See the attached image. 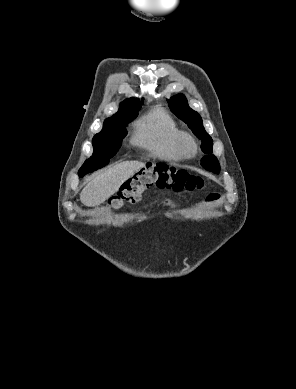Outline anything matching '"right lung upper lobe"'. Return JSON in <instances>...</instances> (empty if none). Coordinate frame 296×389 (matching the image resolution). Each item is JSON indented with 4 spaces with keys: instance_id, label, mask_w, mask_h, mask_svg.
Segmentation results:
<instances>
[{
    "instance_id": "1",
    "label": "right lung upper lobe",
    "mask_w": 296,
    "mask_h": 389,
    "mask_svg": "<svg viewBox=\"0 0 296 389\" xmlns=\"http://www.w3.org/2000/svg\"><path fill=\"white\" fill-rule=\"evenodd\" d=\"M140 107L141 106H140L139 99H134V98L126 99L123 103H121L118 112L110 118H114L116 116L122 115L124 113H127L134 109H138Z\"/></svg>"
}]
</instances>
